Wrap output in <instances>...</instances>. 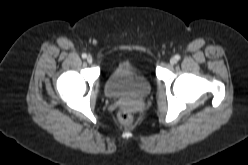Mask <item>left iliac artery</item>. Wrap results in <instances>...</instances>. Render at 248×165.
Instances as JSON below:
<instances>
[{
  "mask_svg": "<svg viewBox=\"0 0 248 165\" xmlns=\"http://www.w3.org/2000/svg\"><path fill=\"white\" fill-rule=\"evenodd\" d=\"M175 59L176 60H179L180 59V56L179 55H175Z\"/></svg>",
  "mask_w": 248,
  "mask_h": 165,
  "instance_id": "1",
  "label": "left iliac artery"
}]
</instances>
